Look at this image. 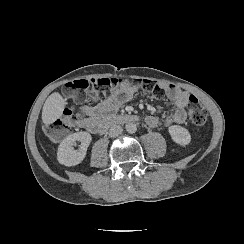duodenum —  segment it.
<instances>
[{
  "label": "duodenum",
  "mask_w": 244,
  "mask_h": 244,
  "mask_svg": "<svg viewBox=\"0 0 244 244\" xmlns=\"http://www.w3.org/2000/svg\"><path fill=\"white\" fill-rule=\"evenodd\" d=\"M139 116L136 114H127V115H110L104 118L102 125L98 129V133L101 135L109 127L125 123H133L139 121Z\"/></svg>",
  "instance_id": "1"
}]
</instances>
